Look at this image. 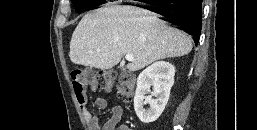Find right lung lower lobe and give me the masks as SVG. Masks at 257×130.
I'll use <instances>...</instances> for the list:
<instances>
[{"label":"right lung lower lobe","mask_w":257,"mask_h":130,"mask_svg":"<svg viewBox=\"0 0 257 130\" xmlns=\"http://www.w3.org/2000/svg\"><path fill=\"white\" fill-rule=\"evenodd\" d=\"M163 20L183 29L199 42L202 24V0H168L153 4Z\"/></svg>","instance_id":"98d812e1"}]
</instances>
